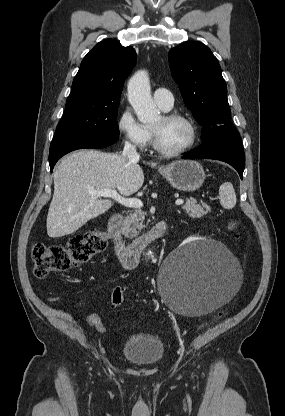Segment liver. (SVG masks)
Listing matches in <instances>:
<instances>
[{"instance_id":"liver-1","label":"liver","mask_w":285,"mask_h":416,"mask_svg":"<svg viewBox=\"0 0 285 416\" xmlns=\"http://www.w3.org/2000/svg\"><path fill=\"white\" fill-rule=\"evenodd\" d=\"M54 194L47 216L49 238L74 234L89 220L105 214L110 200H99L88 190H117L131 196L143 186L144 174L119 154L78 150L62 160L53 176Z\"/></svg>"}]
</instances>
